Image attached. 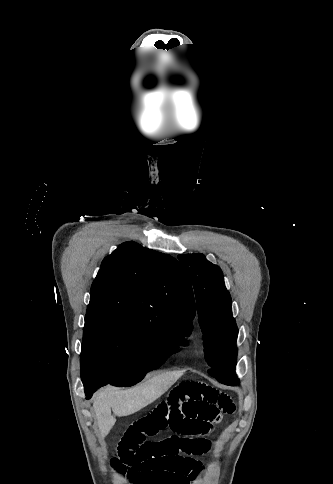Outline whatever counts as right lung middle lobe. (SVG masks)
<instances>
[{"label": "right lung middle lobe", "mask_w": 333, "mask_h": 484, "mask_svg": "<svg viewBox=\"0 0 333 484\" xmlns=\"http://www.w3.org/2000/svg\"><path fill=\"white\" fill-rule=\"evenodd\" d=\"M191 323L180 317H145L123 311H94L85 317L81 378L132 386L186 346Z\"/></svg>", "instance_id": "right-lung-middle-lobe-1"}]
</instances>
